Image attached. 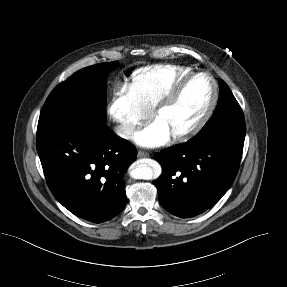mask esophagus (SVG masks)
<instances>
[{"label":"esophagus","mask_w":287,"mask_h":287,"mask_svg":"<svg viewBox=\"0 0 287 287\" xmlns=\"http://www.w3.org/2000/svg\"><path fill=\"white\" fill-rule=\"evenodd\" d=\"M137 156H138L139 158H145V157H148L149 154L146 153V152H144V151H139L138 154H137Z\"/></svg>","instance_id":"1"}]
</instances>
